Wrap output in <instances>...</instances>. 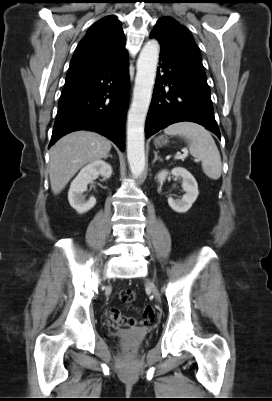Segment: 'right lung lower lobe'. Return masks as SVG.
Masks as SVG:
<instances>
[{"label":"right lung lower lobe","mask_w":272,"mask_h":401,"mask_svg":"<svg viewBox=\"0 0 272 401\" xmlns=\"http://www.w3.org/2000/svg\"><path fill=\"white\" fill-rule=\"evenodd\" d=\"M128 97L127 52L86 76L65 82L49 147L70 132L91 130L123 151Z\"/></svg>","instance_id":"obj_1"}]
</instances>
